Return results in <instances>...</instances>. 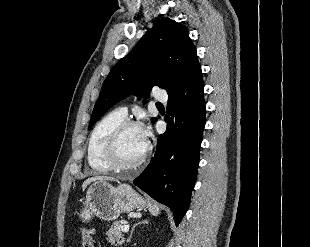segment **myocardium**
Returning a JSON list of instances; mask_svg holds the SVG:
<instances>
[{
    "instance_id": "1",
    "label": "myocardium",
    "mask_w": 310,
    "mask_h": 247,
    "mask_svg": "<svg viewBox=\"0 0 310 247\" xmlns=\"http://www.w3.org/2000/svg\"><path fill=\"white\" fill-rule=\"evenodd\" d=\"M129 128H140L144 131V127L141 123L133 120H123L111 131L105 142L103 158L112 171L123 172L136 170L146 162L150 154L151 143L147 141L146 150L138 161L129 165H124L120 162L118 156L119 141L123 133Z\"/></svg>"
}]
</instances>
